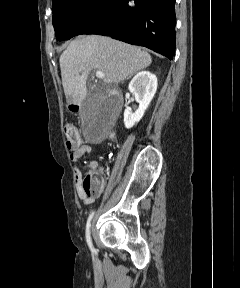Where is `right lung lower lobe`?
I'll use <instances>...</instances> for the list:
<instances>
[{"mask_svg": "<svg viewBox=\"0 0 240 288\" xmlns=\"http://www.w3.org/2000/svg\"><path fill=\"white\" fill-rule=\"evenodd\" d=\"M174 5L175 0H111L80 34L111 36L172 60L176 43Z\"/></svg>", "mask_w": 240, "mask_h": 288, "instance_id": "right-lung-lower-lobe-1", "label": "right lung lower lobe"}]
</instances>
